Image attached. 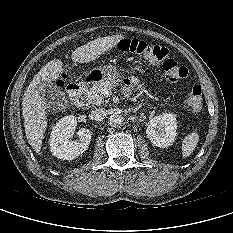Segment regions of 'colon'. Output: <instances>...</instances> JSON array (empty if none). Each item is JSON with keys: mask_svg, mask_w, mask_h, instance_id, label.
<instances>
[{"mask_svg": "<svg viewBox=\"0 0 233 233\" xmlns=\"http://www.w3.org/2000/svg\"><path fill=\"white\" fill-rule=\"evenodd\" d=\"M119 47L124 52L161 62L164 77L169 82H177L188 75V69L170 57L165 47L148 44L138 39L122 40ZM188 104L193 111L198 112L202 109L203 91L200 85L196 84L192 87L188 97Z\"/></svg>", "mask_w": 233, "mask_h": 233, "instance_id": "colon-1", "label": "colon"}]
</instances>
